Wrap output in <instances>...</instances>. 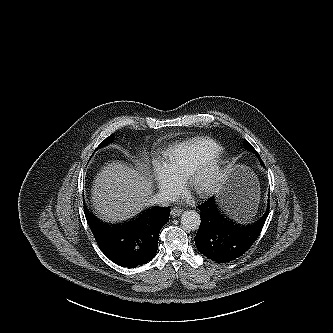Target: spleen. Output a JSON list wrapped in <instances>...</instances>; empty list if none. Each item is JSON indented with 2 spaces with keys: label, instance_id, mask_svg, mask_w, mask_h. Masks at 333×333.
<instances>
[{
  "label": "spleen",
  "instance_id": "3e777b00",
  "mask_svg": "<svg viewBox=\"0 0 333 333\" xmlns=\"http://www.w3.org/2000/svg\"><path fill=\"white\" fill-rule=\"evenodd\" d=\"M254 197L259 201V188L256 189V194H254ZM256 210H257V206L252 211V213H250V214H244L243 217L241 219H238L237 221L242 222V223L249 222L252 219V217L255 215Z\"/></svg>",
  "mask_w": 333,
  "mask_h": 333
}]
</instances>
